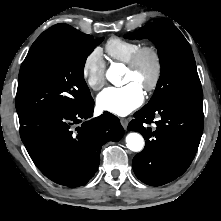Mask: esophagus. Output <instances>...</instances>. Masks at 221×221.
<instances>
[{"instance_id":"obj_1","label":"esophagus","mask_w":221,"mask_h":221,"mask_svg":"<svg viewBox=\"0 0 221 221\" xmlns=\"http://www.w3.org/2000/svg\"><path fill=\"white\" fill-rule=\"evenodd\" d=\"M120 122L123 128L126 129L128 126L129 120L127 118H120Z\"/></svg>"}]
</instances>
